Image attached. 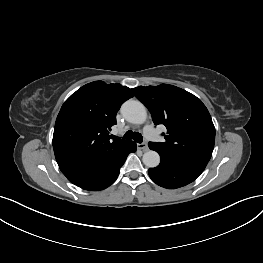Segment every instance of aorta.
Masks as SVG:
<instances>
[{"instance_id":"762f6f07","label":"aorta","mask_w":263,"mask_h":263,"mask_svg":"<svg viewBox=\"0 0 263 263\" xmlns=\"http://www.w3.org/2000/svg\"><path fill=\"white\" fill-rule=\"evenodd\" d=\"M121 113L125 119L133 124H143L147 119L146 107L136 100H128L121 107ZM143 163L150 168L157 167L160 156L156 151L149 150L143 154Z\"/></svg>"}]
</instances>
